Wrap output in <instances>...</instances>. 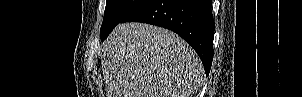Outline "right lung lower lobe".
<instances>
[{
  "label": "right lung lower lobe",
  "instance_id": "right-lung-lower-lobe-1",
  "mask_svg": "<svg viewBox=\"0 0 302 97\" xmlns=\"http://www.w3.org/2000/svg\"><path fill=\"white\" fill-rule=\"evenodd\" d=\"M212 0H143L120 23L143 22L174 31L200 56L208 76L213 60Z\"/></svg>",
  "mask_w": 302,
  "mask_h": 97
}]
</instances>
